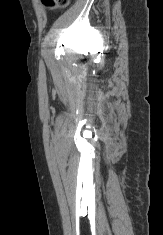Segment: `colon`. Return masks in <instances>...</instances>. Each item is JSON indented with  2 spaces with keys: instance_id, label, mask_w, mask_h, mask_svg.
<instances>
[{
  "instance_id": "obj_1",
  "label": "colon",
  "mask_w": 163,
  "mask_h": 235,
  "mask_svg": "<svg viewBox=\"0 0 163 235\" xmlns=\"http://www.w3.org/2000/svg\"><path fill=\"white\" fill-rule=\"evenodd\" d=\"M42 4L51 10H58L69 5L70 0H41Z\"/></svg>"
}]
</instances>
